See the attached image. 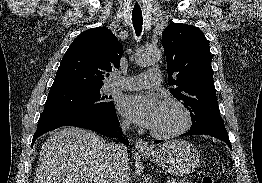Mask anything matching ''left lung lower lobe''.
<instances>
[{
	"mask_svg": "<svg viewBox=\"0 0 262 183\" xmlns=\"http://www.w3.org/2000/svg\"><path fill=\"white\" fill-rule=\"evenodd\" d=\"M210 135L215 138H218L224 141L231 149V143L229 141L228 133L225 129L224 124H215V125H207L204 127L190 129L188 132L184 133L183 135ZM162 141H155L154 143H160Z\"/></svg>",
	"mask_w": 262,
	"mask_h": 183,
	"instance_id": "obj_1",
	"label": "left lung lower lobe"
}]
</instances>
